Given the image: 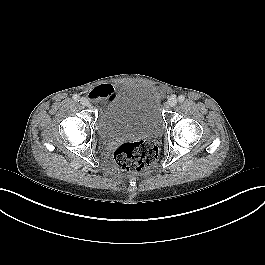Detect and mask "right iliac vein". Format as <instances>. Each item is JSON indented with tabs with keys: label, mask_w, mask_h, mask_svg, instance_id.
<instances>
[{
	"label": "right iliac vein",
	"mask_w": 265,
	"mask_h": 265,
	"mask_svg": "<svg viewBox=\"0 0 265 265\" xmlns=\"http://www.w3.org/2000/svg\"><path fill=\"white\" fill-rule=\"evenodd\" d=\"M80 102H81V104H82L83 106H89V105H90V102H89L88 98H86V97H82V98L80 99Z\"/></svg>",
	"instance_id": "1"
}]
</instances>
